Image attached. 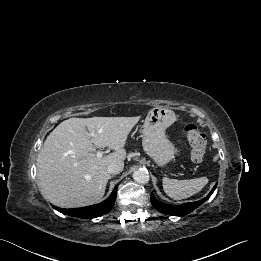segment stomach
<instances>
[{
    "label": "stomach",
    "instance_id": "0dacf381",
    "mask_svg": "<svg viewBox=\"0 0 261 261\" xmlns=\"http://www.w3.org/2000/svg\"><path fill=\"white\" fill-rule=\"evenodd\" d=\"M176 120L175 113L164 107H155L148 112L142 131L144 151L159 166L174 158L175 147L166 136V129Z\"/></svg>",
    "mask_w": 261,
    "mask_h": 261
}]
</instances>
